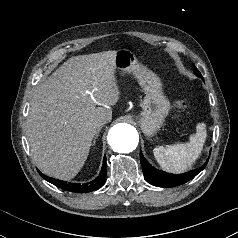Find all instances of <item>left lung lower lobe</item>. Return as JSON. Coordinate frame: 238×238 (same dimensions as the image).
<instances>
[{
  "label": "left lung lower lobe",
  "mask_w": 238,
  "mask_h": 238,
  "mask_svg": "<svg viewBox=\"0 0 238 238\" xmlns=\"http://www.w3.org/2000/svg\"><path fill=\"white\" fill-rule=\"evenodd\" d=\"M140 161L144 178L152 185L158 187H175L182 185L198 175L206 166L207 162L200 168L184 174H170L152 167L140 153Z\"/></svg>",
  "instance_id": "left-lung-lower-lobe-1"
}]
</instances>
